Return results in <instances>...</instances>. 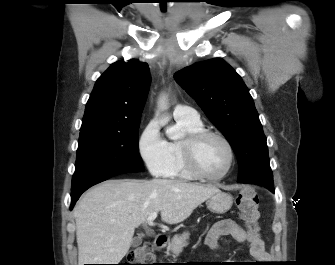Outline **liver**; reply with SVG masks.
<instances>
[{"label":"liver","mask_w":335,"mask_h":265,"mask_svg":"<svg viewBox=\"0 0 335 265\" xmlns=\"http://www.w3.org/2000/svg\"><path fill=\"white\" fill-rule=\"evenodd\" d=\"M220 190L212 185L152 179L108 180L76 204L78 265L118 264L131 246L134 230L153 212L167 224L186 220Z\"/></svg>","instance_id":"liver-1"}]
</instances>
